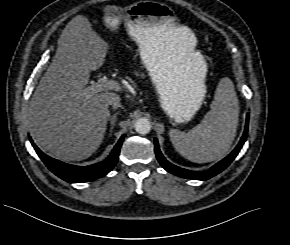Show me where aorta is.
Returning <instances> with one entry per match:
<instances>
[{
	"label": "aorta",
	"instance_id": "obj_1",
	"mask_svg": "<svg viewBox=\"0 0 290 245\" xmlns=\"http://www.w3.org/2000/svg\"><path fill=\"white\" fill-rule=\"evenodd\" d=\"M135 130L137 133L145 135L150 132L151 124L146 119H139L135 124Z\"/></svg>",
	"mask_w": 290,
	"mask_h": 245
}]
</instances>
